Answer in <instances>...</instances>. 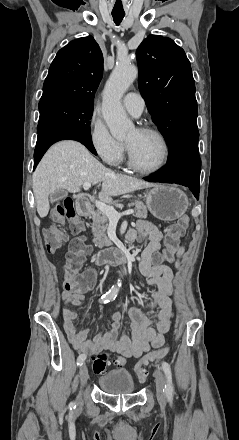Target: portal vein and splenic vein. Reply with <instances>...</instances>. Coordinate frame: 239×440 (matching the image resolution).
<instances>
[{"mask_svg":"<svg viewBox=\"0 0 239 440\" xmlns=\"http://www.w3.org/2000/svg\"><path fill=\"white\" fill-rule=\"evenodd\" d=\"M83 188L84 190H89V188H91L90 182H85V184H83ZM95 206L96 208H98V210H100V212H103L105 216H108L110 222H118L121 216H128V214L132 215L133 213L132 209H127V212H122V214H118V212L114 210L113 206H107V204H103V202H95Z\"/></svg>","mask_w":239,"mask_h":440,"instance_id":"portal-vein-and-splenic-vein-1","label":"portal vein and splenic vein"}]
</instances>
